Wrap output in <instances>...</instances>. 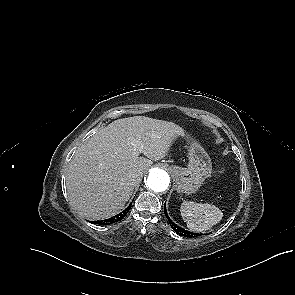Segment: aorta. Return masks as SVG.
<instances>
[{"mask_svg": "<svg viewBox=\"0 0 295 295\" xmlns=\"http://www.w3.org/2000/svg\"><path fill=\"white\" fill-rule=\"evenodd\" d=\"M170 183L169 173L162 168H152L149 171L146 179V186L148 189L154 192L165 191Z\"/></svg>", "mask_w": 295, "mask_h": 295, "instance_id": "aorta-1", "label": "aorta"}]
</instances>
